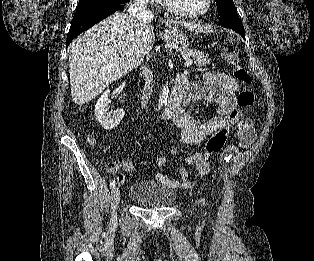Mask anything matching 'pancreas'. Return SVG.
<instances>
[{"mask_svg":"<svg viewBox=\"0 0 314 261\" xmlns=\"http://www.w3.org/2000/svg\"><path fill=\"white\" fill-rule=\"evenodd\" d=\"M181 55L182 56H187V57H192L194 60V64L199 67H205L208 64H210V59L208 55L204 54L203 52H200L198 50H193L189 48H182L181 49Z\"/></svg>","mask_w":314,"mask_h":261,"instance_id":"pancreas-1","label":"pancreas"}]
</instances>
